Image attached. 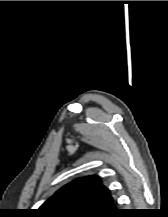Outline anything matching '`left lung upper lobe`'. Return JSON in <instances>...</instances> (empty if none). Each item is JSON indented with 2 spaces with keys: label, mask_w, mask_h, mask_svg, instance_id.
I'll return each instance as SVG.
<instances>
[{
  "label": "left lung upper lobe",
  "mask_w": 168,
  "mask_h": 217,
  "mask_svg": "<svg viewBox=\"0 0 168 217\" xmlns=\"http://www.w3.org/2000/svg\"><path fill=\"white\" fill-rule=\"evenodd\" d=\"M113 204L100 178L87 176L63 186L37 212L42 217H101Z\"/></svg>",
  "instance_id": "left-lung-upper-lobe-1"
}]
</instances>
